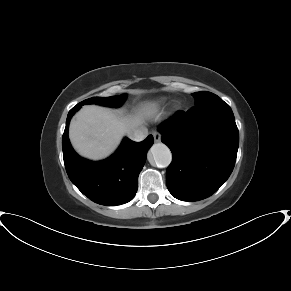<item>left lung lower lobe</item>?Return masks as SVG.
I'll use <instances>...</instances> for the list:
<instances>
[{
	"label": "left lung lower lobe",
	"mask_w": 291,
	"mask_h": 291,
	"mask_svg": "<svg viewBox=\"0 0 291 291\" xmlns=\"http://www.w3.org/2000/svg\"><path fill=\"white\" fill-rule=\"evenodd\" d=\"M172 152L166 171L169 192L182 201H198L215 193L229 178L239 146L230 106L217 98L187 112L177 111L158 126Z\"/></svg>",
	"instance_id": "obj_1"
}]
</instances>
